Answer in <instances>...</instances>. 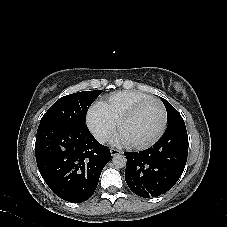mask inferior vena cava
I'll use <instances>...</instances> for the list:
<instances>
[{"label":"inferior vena cava","mask_w":227,"mask_h":227,"mask_svg":"<svg viewBox=\"0 0 227 227\" xmlns=\"http://www.w3.org/2000/svg\"><path fill=\"white\" fill-rule=\"evenodd\" d=\"M95 138L99 143L104 144L109 140V135L106 133H97L95 134Z\"/></svg>","instance_id":"inferior-vena-cava-1"}]
</instances>
